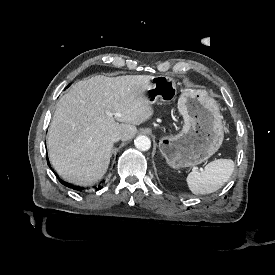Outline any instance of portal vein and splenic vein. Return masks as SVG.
Instances as JSON below:
<instances>
[{
    "label": "portal vein and splenic vein",
    "mask_w": 275,
    "mask_h": 275,
    "mask_svg": "<svg viewBox=\"0 0 275 275\" xmlns=\"http://www.w3.org/2000/svg\"><path fill=\"white\" fill-rule=\"evenodd\" d=\"M108 114H110L111 116L114 115L116 117H120V113H110L108 112ZM195 169H198V171L200 172H205V169H202V168H198V166H194V168H192V172H195Z\"/></svg>",
    "instance_id": "1"
}]
</instances>
